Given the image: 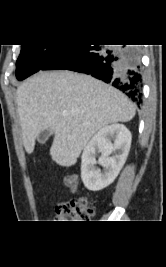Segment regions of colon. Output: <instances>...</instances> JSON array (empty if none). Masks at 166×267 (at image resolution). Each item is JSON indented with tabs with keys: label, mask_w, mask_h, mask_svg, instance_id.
<instances>
[{
	"label": "colon",
	"mask_w": 166,
	"mask_h": 267,
	"mask_svg": "<svg viewBox=\"0 0 166 267\" xmlns=\"http://www.w3.org/2000/svg\"><path fill=\"white\" fill-rule=\"evenodd\" d=\"M68 178L76 182L74 177L69 176ZM56 209L58 215V221L56 222L59 223L86 220L94 215V207L85 197L62 202L57 205Z\"/></svg>",
	"instance_id": "1"
}]
</instances>
